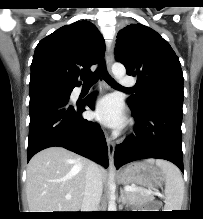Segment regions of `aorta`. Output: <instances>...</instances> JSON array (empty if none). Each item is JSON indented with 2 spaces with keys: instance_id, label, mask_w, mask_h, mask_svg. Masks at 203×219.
<instances>
[{
  "instance_id": "aorta-1",
  "label": "aorta",
  "mask_w": 203,
  "mask_h": 219,
  "mask_svg": "<svg viewBox=\"0 0 203 219\" xmlns=\"http://www.w3.org/2000/svg\"><path fill=\"white\" fill-rule=\"evenodd\" d=\"M112 73L116 79H121L126 74V69L121 63H115L112 66ZM109 189L111 191V198H114V189H115V183H114V165L110 164V174H109Z\"/></svg>"
}]
</instances>
